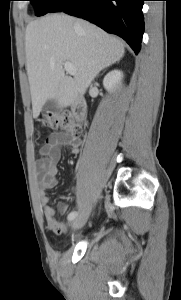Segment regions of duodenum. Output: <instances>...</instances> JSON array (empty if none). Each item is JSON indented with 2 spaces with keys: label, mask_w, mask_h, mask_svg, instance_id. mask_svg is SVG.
<instances>
[{
  "label": "duodenum",
  "mask_w": 181,
  "mask_h": 300,
  "mask_svg": "<svg viewBox=\"0 0 181 300\" xmlns=\"http://www.w3.org/2000/svg\"><path fill=\"white\" fill-rule=\"evenodd\" d=\"M71 111L74 119L82 121L86 114V105L82 98L77 97L71 106Z\"/></svg>",
  "instance_id": "obj_1"
}]
</instances>
